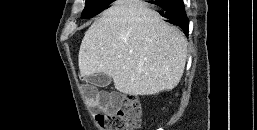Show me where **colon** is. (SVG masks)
<instances>
[{
    "instance_id": "colon-1",
    "label": "colon",
    "mask_w": 257,
    "mask_h": 130,
    "mask_svg": "<svg viewBox=\"0 0 257 130\" xmlns=\"http://www.w3.org/2000/svg\"><path fill=\"white\" fill-rule=\"evenodd\" d=\"M84 94L92 97L95 94V87L86 85ZM96 119L104 130H134L139 128L142 121L140 101L136 96L128 95L120 106L97 114Z\"/></svg>"
}]
</instances>
